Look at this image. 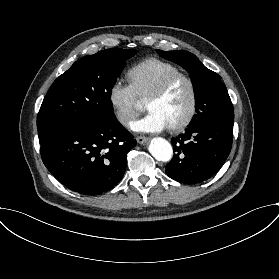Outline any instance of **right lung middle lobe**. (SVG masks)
<instances>
[{
	"label": "right lung middle lobe",
	"mask_w": 279,
	"mask_h": 279,
	"mask_svg": "<svg viewBox=\"0 0 279 279\" xmlns=\"http://www.w3.org/2000/svg\"><path fill=\"white\" fill-rule=\"evenodd\" d=\"M136 50L112 48L82 57L48 90L37 117L38 135L50 126L115 120L112 88Z\"/></svg>",
	"instance_id": "dd1d6c3e"
}]
</instances>
